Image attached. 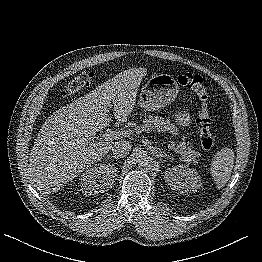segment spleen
<instances>
[{
  "mask_svg": "<svg viewBox=\"0 0 262 262\" xmlns=\"http://www.w3.org/2000/svg\"><path fill=\"white\" fill-rule=\"evenodd\" d=\"M234 164V152L230 148H223L217 152L209 171L216 185L223 187L229 180Z\"/></svg>",
  "mask_w": 262,
  "mask_h": 262,
  "instance_id": "3e777b00",
  "label": "spleen"
}]
</instances>
